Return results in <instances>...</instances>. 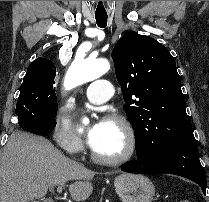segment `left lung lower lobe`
<instances>
[{
	"label": "left lung lower lobe",
	"mask_w": 209,
	"mask_h": 202,
	"mask_svg": "<svg viewBox=\"0 0 209 202\" xmlns=\"http://www.w3.org/2000/svg\"><path fill=\"white\" fill-rule=\"evenodd\" d=\"M136 161L124 165L121 170L129 173L157 174L169 173L188 178L206 191V177L199 160V150L193 135L187 136L164 153L153 156L148 151L136 148Z\"/></svg>",
	"instance_id": "0a47b994"
}]
</instances>
